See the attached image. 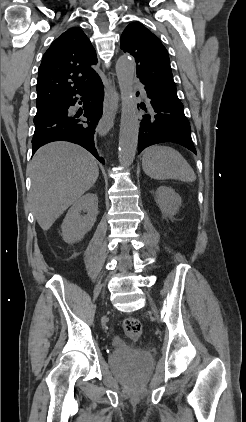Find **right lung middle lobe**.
I'll list each match as a JSON object with an SVG mask.
<instances>
[{"label": "right lung middle lobe", "mask_w": 246, "mask_h": 422, "mask_svg": "<svg viewBox=\"0 0 246 422\" xmlns=\"http://www.w3.org/2000/svg\"><path fill=\"white\" fill-rule=\"evenodd\" d=\"M49 114H51L49 107L44 108V109H39V110H37V113H36V116L34 117V120L39 119V118L44 117V116H47Z\"/></svg>", "instance_id": "1"}]
</instances>
